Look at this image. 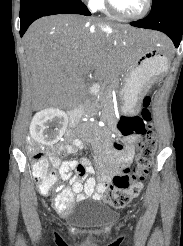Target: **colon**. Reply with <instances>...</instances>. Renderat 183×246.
I'll list each match as a JSON object with an SVG mask.
<instances>
[{"instance_id": "colon-1", "label": "colon", "mask_w": 183, "mask_h": 246, "mask_svg": "<svg viewBox=\"0 0 183 246\" xmlns=\"http://www.w3.org/2000/svg\"><path fill=\"white\" fill-rule=\"evenodd\" d=\"M151 96H146L143 100V108L140 115H124L118 122V130L124 136L133 134H143L145 139L140 143L136 165L132 168H125L120 174L112 179V184L106 190L104 201L114 208H123L130 201L137 197L142 189V182L148 175L154 154L157 149V140L152 129V112L150 105ZM114 152H123L122 143L113 144ZM28 152L33 166L34 177L37 180L41 191H51L55 184L56 177L49 171L48 163L42 151L35 145L28 146ZM54 204L61 212L72 207L69 198L58 195Z\"/></svg>"}]
</instances>
